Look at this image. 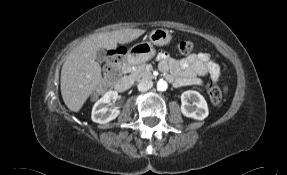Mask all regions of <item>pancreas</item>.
<instances>
[{
	"mask_svg": "<svg viewBox=\"0 0 287 175\" xmlns=\"http://www.w3.org/2000/svg\"><path fill=\"white\" fill-rule=\"evenodd\" d=\"M132 81H141L152 77V74L145 68V64L135 66L131 74L128 76Z\"/></svg>",
	"mask_w": 287,
	"mask_h": 175,
	"instance_id": "cf45deb5",
	"label": "pancreas"
}]
</instances>
